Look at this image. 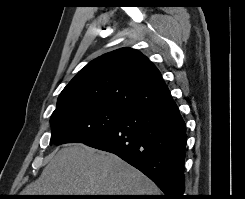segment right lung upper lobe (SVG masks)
I'll use <instances>...</instances> for the list:
<instances>
[{
	"label": "right lung upper lobe",
	"instance_id": "1",
	"mask_svg": "<svg viewBox=\"0 0 245 199\" xmlns=\"http://www.w3.org/2000/svg\"><path fill=\"white\" fill-rule=\"evenodd\" d=\"M171 94L153 63L132 48H121L89 62L60 93L56 110L97 104L130 112Z\"/></svg>",
	"mask_w": 245,
	"mask_h": 199
}]
</instances>
